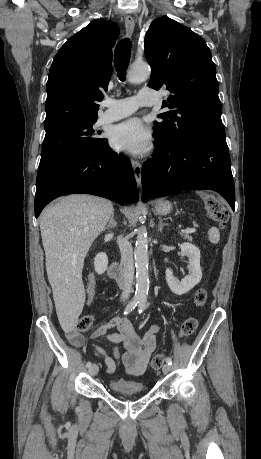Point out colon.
<instances>
[{"mask_svg":"<svg viewBox=\"0 0 261 459\" xmlns=\"http://www.w3.org/2000/svg\"><path fill=\"white\" fill-rule=\"evenodd\" d=\"M206 210L211 219L219 226L224 227L229 218V213L222 202L211 193H205L203 195ZM207 301V291L204 288H200L195 292L194 303L196 306L201 307ZM93 323V316L90 314L82 315L79 317L75 330L77 332H85L89 330ZM198 327V320L194 317H189L182 323L178 336L181 339L191 336ZM116 353H118L116 351ZM164 363V356L161 354L155 355L151 360V367L154 370H158Z\"/></svg>","mask_w":261,"mask_h":459,"instance_id":"5ec220e1","label":"colon"}]
</instances>
